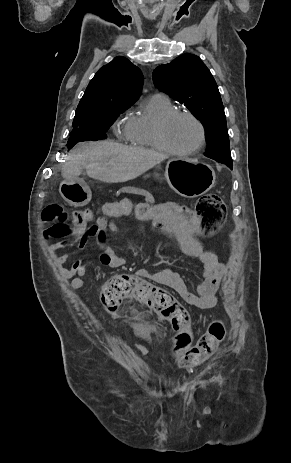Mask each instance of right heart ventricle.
I'll return each instance as SVG.
<instances>
[{"instance_id":"obj_1","label":"right heart ventricle","mask_w":291,"mask_h":463,"mask_svg":"<svg viewBox=\"0 0 291 463\" xmlns=\"http://www.w3.org/2000/svg\"><path fill=\"white\" fill-rule=\"evenodd\" d=\"M174 110L163 94L148 97L129 119L128 140L135 146L161 150L155 137V126L166 113Z\"/></svg>"}]
</instances>
